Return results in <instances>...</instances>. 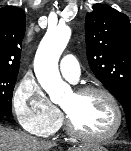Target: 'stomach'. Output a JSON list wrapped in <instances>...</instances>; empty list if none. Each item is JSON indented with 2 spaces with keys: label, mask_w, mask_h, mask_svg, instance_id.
<instances>
[{
  "label": "stomach",
  "mask_w": 131,
  "mask_h": 151,
  "mask_svg": "<svg viewBox=\"0 0 131 151\" xmlns=\"http://www.w3.org/2000/svg\"><path fill=\"white\" fill-rule=\"evenodd\" d=\"M80 151H108V150L101 145H90L83 147V149Z\"/></svg>",
  "instance_id": "1"
}]
</instances>
